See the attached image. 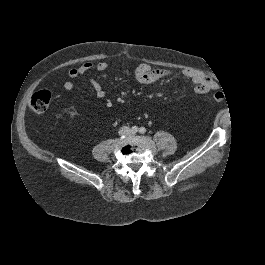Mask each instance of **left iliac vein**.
Segmentation results:
<instances>
[{
	"label": "left iliac vein",
	"mask_w": 265,
	"mask_h": 265,
	"mask_svg": "<svg viewBox=\"0 0 265 265\" xmlns=\"http://www.w3.org/2000/svg\"><path fill=\"white\" fill-rule=\"evenodd\" d=\"M136 133L132 132L131 135H135Z\"/></svg>",
	"instance_id": "left-iliac-vein-1"
}]
</instances>
